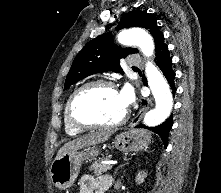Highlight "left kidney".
Returning <instances> with one entry per match:
<instances>
[{
    "instance_id": "1",
    "label": "left kidney",
    "mask_w": 221,
    "mask_h": 193,
    "mask_svg": "<svg viewBox=\"0 0 221 193\" xmlns=\"http://www.w3.org/2000/svg\"><path fill=\"white\" fill-rule=\"evenodd\" d=\"M147 174L144 171H140L135 178V182L140 185L144 182V179L146 178Z\"/></svg>"
}]
</instances>
